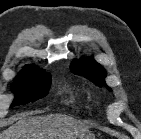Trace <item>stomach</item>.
Listing matches in <instances>:
<instances>
[{"instance_id": "1", "label": "stomach", "mask_w": 141, "mask_h": 139, "mask_svg": "<svg viewBox=\"0 0 141 139\" xmlns=\"http://www.w3.org/2000/svg\"><path fill=\"white\" fill-rule=\"evenodd\" d=\"M77 139H95V137L90 133H86V134L79 136Z\"/></svg>"}]
</instances>
